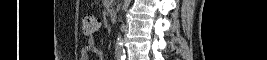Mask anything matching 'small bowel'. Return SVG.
I'll use <instances>...</instances> for the list:
<instances>
[{
  "label": "small bowel",
  "mask_w": 267,
  "mask_h": 60,
  "mask_svg": "<svg viewBox=\"0 0 267 60\" xmlns=\"http://www.w3.org/2000/svg\"><path fill=\"white\" fill-rule=\"evenodd\" d=\"M83 54L88 57L90 55H95L99 59H102V50L97 47L96 40L93 36H90L83 48Z\"/></svg>",
  "instance_id": "small-bowel-1"
}]
</instances>
